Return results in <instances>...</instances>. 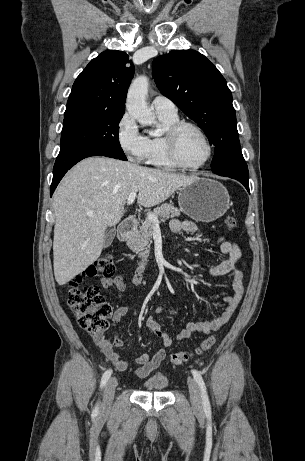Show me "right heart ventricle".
Instances as JSON below:
<instances>
[{"label":"right heart ventricle","instance_id":"e07e8e85","mask_svg":"<svg viewBox=\"0 0 305 461\" xmlns=\"http://www.w3.org/2000/svg\"><path fill=\"white\" fill-rule=\"evenodd\" d=\"M160 120V127L149 135L145 136V147L142 160L145 164L175 170L178 168L169 158L165 147V134L167 129L179 121L177 114L168 115L157 113Z\"/></svg>","mask_w":305,"mask_h":461}]
</instances>
